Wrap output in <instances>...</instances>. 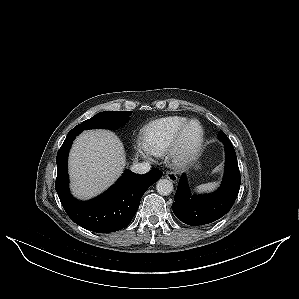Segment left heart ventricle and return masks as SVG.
I'll list each match as a JSON object with an SVG mask.
<instances>
[{
    "mask_svg": "<svg viewBox=\"0 0 299 299\" xmlns=\"http://www.w3.org/2000/svg\"><path fill=\"white\" fill-rule=\"evenodd\" d=\"M198 133H199V128L196 125L192 126L187 133V141L188 142L193 141L197 137Z\"/></svg>",
    "mask_w": 299,
    "mask_h": 299,
    "instance_id": "left-heart-ventricle-1",
    "label": "left heart ventricle"
}]
</instances>
